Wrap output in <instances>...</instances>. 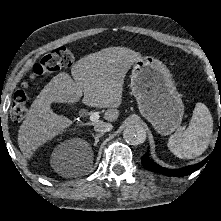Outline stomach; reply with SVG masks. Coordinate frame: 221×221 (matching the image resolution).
Instances as JSON below:
<instances>
[{
    "mask_svg": "<svg viewBox=\"0 0 221 221\" xmlns=\"http://www.w3.org/2000/svg\"><path fill=\"white\" fill-rule=\"evenodd\" d=\"M130 78L142 116L161 135L177 130L183 119L184 104L166 65L154 57H142L134 63Z\"/></svg>",
    "mask_w": 221,
    "mask_h": 221,
    "instance_id": "stomach-1",
    "label": "stomach"
}]
</instances>
